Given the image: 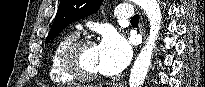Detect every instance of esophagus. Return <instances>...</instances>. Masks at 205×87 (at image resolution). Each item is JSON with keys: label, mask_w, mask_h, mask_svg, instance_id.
I'll list each match as a JSON object with an SVG mask.
<instances>
[{"label": "esophagus", "mask_w": 205, "mask_h": 87, "mask_svg": "<svg viewBox=\"0 0 205 87\" xmlns=\"http://www.w3.org/2000/svg\"><path fill=\"white\" fill-rule=\"evenodd\" d=\"M141 34H142V36H143V38L145 39V30L143 29V28H141Z\"/></svg>", "instance_id": "esophagus-1"}]
</instances>
